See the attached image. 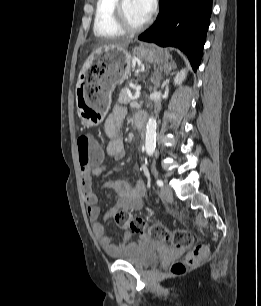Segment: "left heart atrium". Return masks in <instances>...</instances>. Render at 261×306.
Instances as JSON below:
<instances>
[{"label":"left heart atrium","instance_id":"left-heart-atrium-1","mask_svg":"<svg viewBox=\"0 0 261 306\" xmlns=\"http://www.w3.org/2000/svg\"><path fill=\"white\" fill-rule=\"evenodd\" d=\"M134 3L145 19H148L156 8V0H134Z\"/></svg>","mask_w":261,"mask_h":306}]
</instances>
